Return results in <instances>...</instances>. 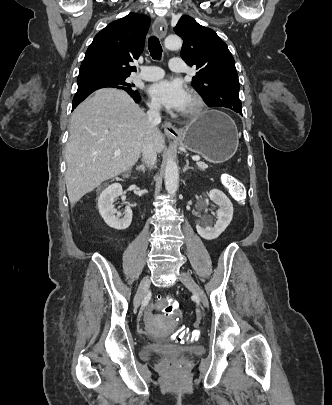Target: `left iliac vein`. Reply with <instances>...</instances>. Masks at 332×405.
<instances>
[{
	"instance_id": "4c4485c4",
	"label": "left iliac vein",
	"mask_w": 332,
	"mask_h": 405,
	"mask_svg": "<svg viewBox=\"0 0 332 405\" xmlns=\"http://www.w3.org/2000/svg\"><path fill=\"white\" fill-rule=\"evenodd\" d=\"M180 280L188 289H190L200 303H202L205 307L209 306V301L206 294L189 273L181 272Z\"/></svg>"
}]
</instances>
